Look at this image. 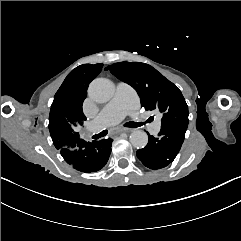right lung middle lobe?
<instances>
[{"mask_svg": "<svg viewBox=\"0 0 241 241\" xmlns=\"http://www.w3.org/2000/svg\"><path fill=\"white\" fill-rule=\"evenodd\" d=\"M101 64H83L72 70L66 79L74 87H88L89 83L100 73Z\"/></svg>", "mask_w": 241, "mask_h": 241, "instance_id": "1", "label": "right lung middle lobe"}]
</instances>
